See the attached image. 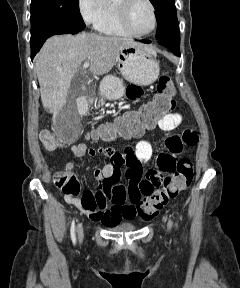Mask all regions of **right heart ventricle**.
<instances>
[{"label":"right heart ventricle","instance_id":"e07e8e85","mask_svg":"<svg viewBox=\"0 0 240 288\" xmlns=\"http://www.w3.org/2000/svg\"><path fill=\"white\" fill-rule=\"evenodd\" d=\"M98 29L101 32L110 35H122V36L130 35L120 25L115 2L110 3V12L107 18L100 24Z\"/></svg>","mask_w":240,"mask_h":288}]
</instances>
